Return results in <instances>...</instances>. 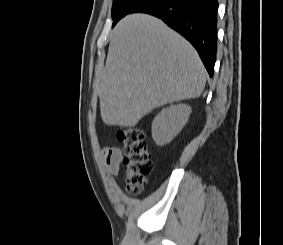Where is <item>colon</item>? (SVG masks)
I'll list each match as a JSON object with an SVG mask.
<instances>
[{
  "label": "colon",
  "mask_w": 283,
  "mask_h": 245,
  "mask_svg": "<svg viewBox=\"0 0 283 245\" xmlns=\"http://www.w3.org/2000/svg\"><path fill=\"white\" fill-rule=\"evenodd\" d=\"M117 136L123 144L122 167L126 189L130 194L136 195L142 191L152 169L145 134L137 127H124Z\"/></svg>",
  "instance_id": "obj_1"
}]
</instances>
